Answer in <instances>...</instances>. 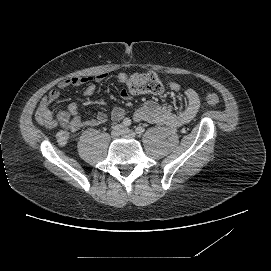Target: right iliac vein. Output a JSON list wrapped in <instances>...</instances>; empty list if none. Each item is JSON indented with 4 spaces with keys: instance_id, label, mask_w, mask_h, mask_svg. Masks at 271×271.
Returning <instances> with one entry per match:
<instances>
[{
    "instance_id": "1",
    "label": "right iliac vein",
    "mask_w": 271,
    "mask_h": 271,
    "mask_svg": "<svg viewBox=\"0 0 271 271\" xmlns=\"http://www.w3.org/2000/svg\"><path fill=\"white\" fill-rule=\"evenodd\" d=\"M123 133V128L120 125H117L115 127H113L112 131H111V137L113 139H117L118 137H120Z\"/></svg>"
}]
</instances>
